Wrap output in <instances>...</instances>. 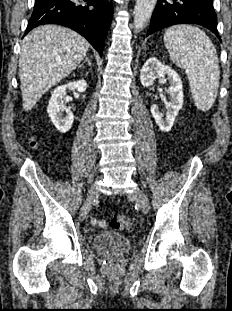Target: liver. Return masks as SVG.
<instances>
[{"label":"liver","instance_id":"liver-1","mask_svg":"<svg viewBox=\"0 0 232 311\" xmlns=\"http://www.w3.org/2000/svg\"><path fill=\"white\" fill-rule=\"evenodd\" d=\"M88 48L86 39L65 27L45 25L29 33L19 57L23 109L31 110L42 95L76 69Z\"/></svg>","mask_w":232,"mask_h":311}]
</instances>
